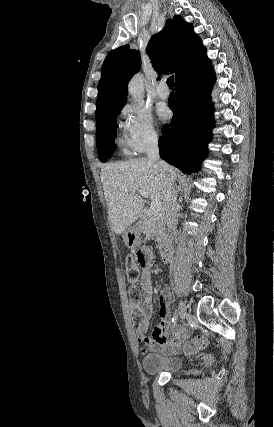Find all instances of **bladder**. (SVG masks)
I'll return each instance as SVG.
<instances>
[{"label":"bladder","mask_w":274,"mask_h":427,"mask_svg":"<svg viewBox=\"0 0 274 427\" xmlns=\"http://www.w3.org/2000/svg\"><path fill=\"white\" fill-rule=\"evenodd\" d=\"M145 374L174 373L181 369L180 356H165L159 353L146 354L143 361Z\"/></svg>","instance_id":"31cf9c89"}]
</instances>
